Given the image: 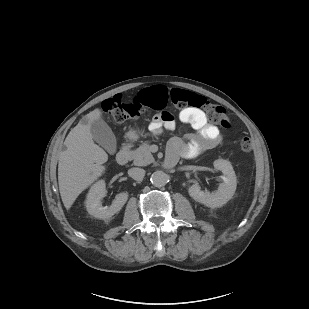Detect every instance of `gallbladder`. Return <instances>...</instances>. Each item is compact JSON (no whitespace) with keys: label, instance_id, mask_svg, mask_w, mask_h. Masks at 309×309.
Masks as SVG:
<instances>
[{"label":"gallbladder","instance_id":"bac80fb5","mask_svg":"<svg viewBox=\"0 0 309 309\" xmlns=\"http://www.w3.org/2000/svg\"><path fill=\"white\" fill-rule=\"evenodd\" d=\"M91 134L93 140L101 145L108 153L116 152V138L108 124L98 119L91 123Z\"/></svg>","mask_w":309,"mask_h":309}]
</instances>
